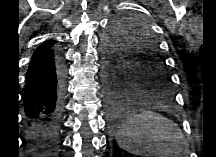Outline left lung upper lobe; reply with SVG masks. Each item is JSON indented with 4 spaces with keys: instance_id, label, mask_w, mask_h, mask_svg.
<instances>
[{
    "instance_id": "obj_1",
    "label": "left lung upper lobe",
    "mask_w": 216,
    "mask_h": 157,
    "mask_svg": "<svg viewBox=\"0 0 216 157\" xmlns=\"http://www.w3.org/2000/svg\"><path fill=\"white\" fill-rule=\"evenodd\" d=\"M103 45L114 71L112 82L122 74L134 96H171L165 59L143 20L133 15L115 19L104 34Z\"/></svg>"
}]
</instances>
